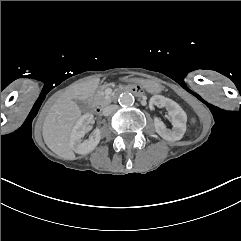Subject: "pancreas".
Masks as SVG:
<instances>
[{
	"label": "pancreas",
	"instance_id": "1",
	"mask_svg": "<svg viewBox=\"0 0 241 241\" xmlns=\"http://www.w3.org/2000/svg\"><path fill=\"white\" fill-rule=\"evenodd\" d=\"M105 88L106 87L103 86V88L100 89L97 93V99L99 100L98 104L101 105L102 107L108 105L111 102V100L105 98V92H104Z\"/></svg>",
	"mask_w": 241,
	"mask_h": 241
}]
</instances>
